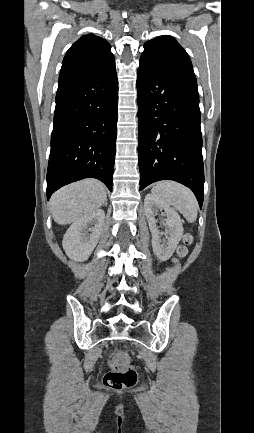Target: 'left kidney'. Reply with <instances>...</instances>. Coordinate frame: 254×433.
I'll return each mask as SVG.
<instances>
[{"mask_svg": "<svg viewBox=\"0 0 254 433\" xmlns=\"http://www.w3.org/2000/svg\"><path fill=\"white\" fill-rule=\"evenodd\" d=\"M163 209L166 215L164 233H160L155 220V212ZM144 211L152 234V247L155 255L160 261H167L175 251L183 236L182 220L176 210L155 194H147L144 200ZM166 236L167 242L161 244L160 235Z\"/></svg>", "mask_w": 254, "mask_h": 433, "instance_id": "left-kidney-1", "label": "left kidney"}]
</instances>
